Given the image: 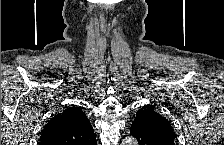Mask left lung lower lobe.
<instances>
[{
    "label": "left lung lower lobe",
    "mask_w": 224,
    "mask_h": 145,
    "mask_svg": "<svg viewBox=\"0 0 224 145\" xmlns=\"http://www.w3.org/2000/svg\"><path fill=\"white\" fill-rule=\"evenodd\" d=\"M130 134L137 139L139 145H165L149 132L146 122L141 115L135 117L131 125Z\"/></svg>",
    "instance_id": "0a47b994"
}]
</instances>
